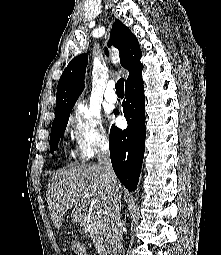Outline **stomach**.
<instances>
[{
	"instance_id": "stomach-1",
	"label": "stomach",
	"mask_w": 221,
	"mask_h": 255,
	"mask_svg": "<svg viewBox=\"0 0 221 255\" xmlns=\"http://www.w3.org/2000/svg\"><path fill=\"white\" fill-rule=\"evenodd\" d=\"M83 211L79 209H74L72 212L73 219L76 221H81L83 218Z\"/></svg>"
}]
</instances>
